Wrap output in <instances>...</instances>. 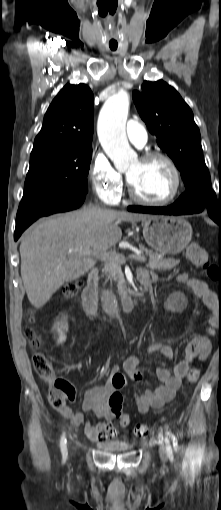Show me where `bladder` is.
Here are the masks:
<instances>
[{
  "mask_svg": "<svg viewBox=\"0 0 221 510\" xmlns=\"http://www.w3.org/2000/svg\"><path fill=\"white\" fill-rule=\"evenodd\" d=\"M100 447L109 452H126L132 449V445L124 442H104L100 443Z\"/></svg>",
  "mask_w": 221,
  "mask_h": 510,
  "instance_id": "bladder-1",
  "label": "bladder"
}]
</instances>
